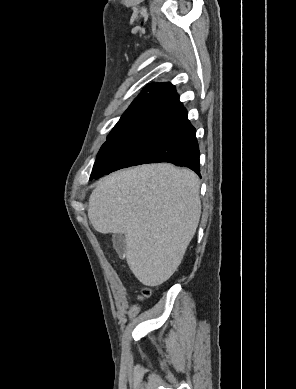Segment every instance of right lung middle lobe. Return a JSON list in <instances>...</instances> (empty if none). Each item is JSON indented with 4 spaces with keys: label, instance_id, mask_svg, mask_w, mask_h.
<instances>
[{
    "label": "right lung middle lobe",
    "instance_id": "1",
    "mask_svg": "<svg viewBox=\"0 0 296 389\" xmlns=\"http://www.w3.org/2000/svg\"><path fill=\"white\" fill-rule=\"evenodd\" d=\"M179 122L159 116L120 120L101 147L92 172L142 164L150 149Z\"/></svg>",
    "mask_w": 296,
    "mask_h": 389
}]
</instances>
